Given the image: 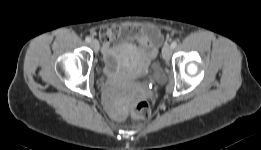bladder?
<instances>
[{
  "label": "bladder",
  "mask_w": 261,
  "mask_h": 150,
  "mask_svg": "<svg viewBox=\"0 0 261 150\" xmlns=\"http://www.w3.org/2000/svg\"><path fill=\"white\" fill-rule=\"evenodd\" d=\"M129 48L125 45H117L103 50L101 57L100 71L104 75H111L116 72L129 70L124 65ZM150 74L154 79L163 78V69L158 60H154L150 67Z\"/></svg>",
  "instance_id": "bladder-1"
}]
</instances>
